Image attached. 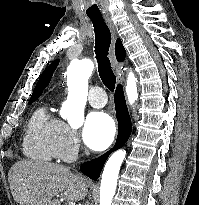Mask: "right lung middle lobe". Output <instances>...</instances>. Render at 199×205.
Instances as JSON below:
<instances>
[{
	"instance_id": "obj_1",
	"label": "right lung middle lobe",
	"mask_w": 199,
	"mask_h": 205,
	"mask_svg": "<svg viewBox=\"0 0 199 205\" xmlns=\"http://www.w3.org/2000/svg\"><path fill=\"white\" fill-rule=\"evenodd\" d=\"M35 100H31V101H29V103H32V102H34Z\"/></svg>"
}]
</instances>
